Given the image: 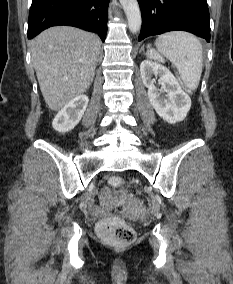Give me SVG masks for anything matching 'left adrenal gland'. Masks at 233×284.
Listing matches in <instances>:
<instances>
[{
	"label": "left adrenal gland",
	"instance_id": "a2214340",
	"mask_svg": "<svg viewBox=\"0 0 233 284\" xmlns=\"http://www.w3.org/2000/svg\"><path fill=\"white\" fill-rule=\"evenodd\" d=\"M140 51H143V52H144V46L141 47Z\"/></svg>",
	"mask_w": 233,
	"mask_h": 284
}]
</instances>
